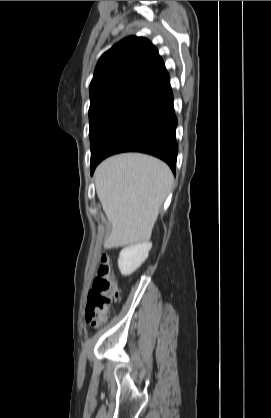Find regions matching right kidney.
I'll return each mask as SVG.
<instances>
[{"label":"right kidney","instance_id":"1","mask_svg":"<svg viewBox=\"0 0 271 418\" xmlns=\"http://www.w3.org/2000/svg\"><path fill=\"white\" fill-rule=\"evenodd\" d=\"M152 247L151 242H143L122 249L119 254L118 266L122 275H130L147 259Z\"/></svg>","mask_w":271,"mask_h":418}]
</instances>
